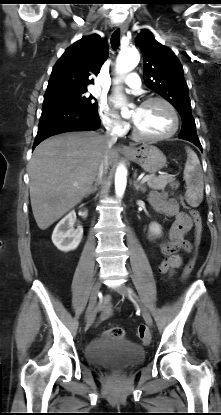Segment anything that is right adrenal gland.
I'll use <instances>...</instances> for the list:
<instances>
[{"instance_id":"2a0ac1e0","label":"right adrenal gland","mask_w":221,"mask_h":415,"mask_svg":"<svg viewBox=\"0 0 221 415\" xmlns=\"http://www.w3.org/2000/svg\"><path fill=\"white\" fill-rule=\"evenodd\" d=\"M98 181L96 180L95 181V183H94V186H92L91 188H90V191H89V194H93V193H95L97 190H98Z\"/></svg>"}]
</instances>
